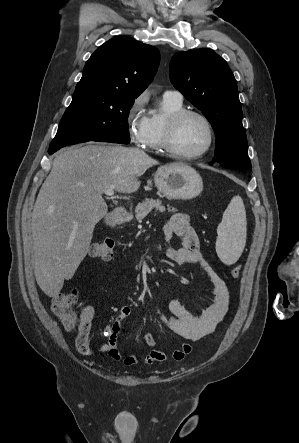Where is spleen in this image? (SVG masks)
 <instances>
[{"mask_svg": "<svg viewBox=\"0 0 299 443\" xmlns=\"http://www.w3.org/2000/svg\"><path fill=\"white\" fill-rule=\"evenodd\" d=\"M216 252L226 265L234 264L246 243V211L240 196H234L217 228Z\"/></svg>", "mask_w": 299, "mask_h": 443, "instance_id": "1", "label": "spleen"}]
</instances>
